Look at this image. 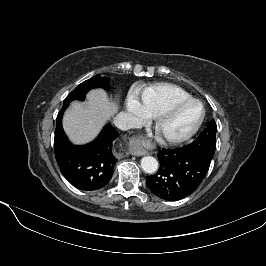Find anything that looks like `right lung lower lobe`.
<instances>
[{
  "instance_id": "1",
  "label": "right lung lower lobe",
  "mask_w": 266,
  "mask_h": 266,
  "mask_svg": "<svg viewBox=\"0 0 266 266\" xmlns=\"http://www.w3.org/2000/svg\"><path fill=\"white\" fill-rule=\"evenodd\" d=\"M68 106L57 115L54 138L56 161L63 176L76 188L94 191L106 186L113 174L117 159L114 155L116 130L107 124L98 138L85 145L71 144L62 127V116Z\"/></svg>"
}]
</instances>
